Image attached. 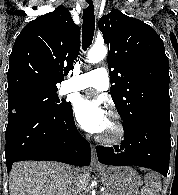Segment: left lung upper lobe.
<instances>
[{
    "instance_id": "left-lung-upper-lobe-1",
    "label": "left lung upper lobe",
    "mask_w": 178,
    "mask_h": 195,
    "mask_svg": "<svg viewBox=\"0 0 178 195\" xmlns=\"http://www.w3.org/2000/svg\"><path fill=\"white\" fill-rule=\"evenodd\" d=\"M99 29L109 45L110 93L124 126L146 119L171 123L169 63L159 35L117 9L102 16Z\"/></svg>"
}]
</instances>
